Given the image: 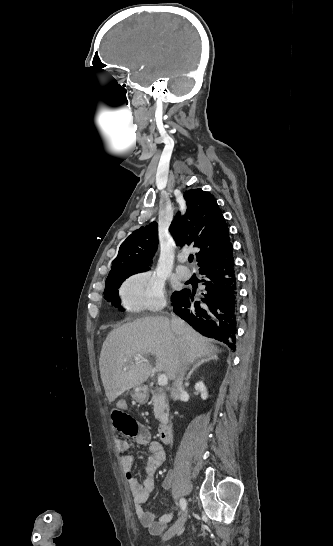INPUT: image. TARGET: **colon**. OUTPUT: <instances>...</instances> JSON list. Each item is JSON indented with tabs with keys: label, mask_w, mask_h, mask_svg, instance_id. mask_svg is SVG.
Masks as SVG:
<instances>
[{
	"label": "colon",
	"mask_w": 333,
	"mask_h": 546,
	"mask_svg": "<svg viewBox=\"0 0 333 546\" xmlns=\"http://www.w3.org/2000/svg\"><path fill=\"white\" fill-rule=\"evenodd\" d=\"M112 423L115 432L121 436H131L136 431L134 424L120 411L118 406L112 407Z\"/></svg>",
	"instance_id": "colon-1"
}]
</instances>
